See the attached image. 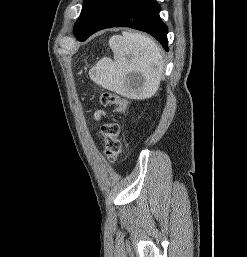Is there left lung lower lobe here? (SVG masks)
Returning <instances> with one entry per match:
<instances>
[{"instance_id":"obj_1","label":"left lung lower lobe","mask_w":247,"mask_h":257,"mask_svg":"<svg viewBox=\"0 0 247 257\" xmlns=\"http://www.w3.org/2000/svg\"><path fill=\"white\" fill-rule=\"evenodd\" d=\"M159 12L156 0H97L76 37L85 41L96 31L125 26L151 34L168 51V29Z\"/></svg>"}]
</instances>
